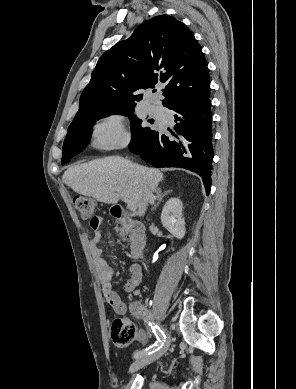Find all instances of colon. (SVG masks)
Wrapping results in <instances>:
<instances>
[{
  "label": "colon",
  "mask_w": 296,
  "mask_h": 389,
  "mask_svg": "<svg viewBox=\"0 0 296 389\" xmlns=\"http://www.w3.org/2000/svg\"><path fill=\"white\" fill-rule=\"evenodd\" d=\"M73 202L80 216L88 220L91 226L94 225L98 219L95 215L96 203L94 200L83 196H75ZM111 337L118 346H127L135 337V327L129 321L117 318L111 325Z\"/></svg>",
  "instance_id": "1"
}]
</instances>
